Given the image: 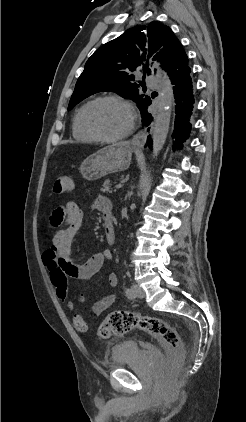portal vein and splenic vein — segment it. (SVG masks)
Segmentation results:
<instances>
[{"instance_id": "1", "label": "portal vein and splenic vein", "mask_w": 246, "mask_h": 422, "mask_svg": "<svg viewBox=\"0 0 246 422\" xmlns=\"http://www.w3.org/2000/svg\"><path fill=\"white\" fill-rule=\"evenodd\" d=\"M122 186H123L122 184H118V185L115 186V188L118 189V188H121Z\"/></svg>"}]
</instances>
